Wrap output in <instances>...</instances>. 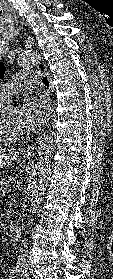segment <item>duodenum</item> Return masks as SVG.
Listing matches in <instances>:
<instances>
[{
    "label": "duodenum",
    "instance_id": "1",
    "mask_svg": "<svg viewBox=\"0 0 113 279\" xmlns=\"http://www.w3.org/2000/svg\"><path fill=\"white\" fill-rule=\"evenodd\" d=\"M20 236H21L20 224L18 222L14 221L10 225L11 240L15 243H18L20 241Z\"/></svg>",
    "mask_w": 113,
    "mask_h": 279
}]
</instances>
